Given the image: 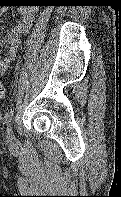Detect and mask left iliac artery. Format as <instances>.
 <instances>
[{
	"label": "left iliac artery",
	"instance_id": "left-iliac-artery-1",
	"mask_svg": "<svg viewBox=\"0 0 121 197\" xmlns=\"http://www.w3.org/2000/svg\"><path fill=\"white\" fill-rule=\"evenodd\" d=\"M14 114V110L11 108L4 116V120L6 124H9L12 120Z\"/></svg>",
	"mask_w": 121,
	"mask_h": 197
}]
</instances>
